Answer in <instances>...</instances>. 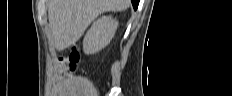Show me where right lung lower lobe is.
I'll use <instances>...</instances> for the list:
<instances>
[{"label": "right lung lower lobe", "instance_id": "right-lung-lower-lobe-1", "mask_svg": "<svg viewBox=\"0 0 232 96\" xmlns=\"http://www.w3.org/2000/svg\"><path fill=\"white\" fill-rule=\"evenodd\" d=\"M139 1H140V0H131L132 5H133V7H134L135 10H136L137 7H138Z\"/></svg>", "mask_w": 232, "mask_h": 96}]
</instances>
